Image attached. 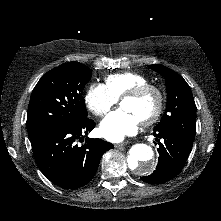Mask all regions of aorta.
I'll list each match as a JSON object with an SVG mask.
<instances>
[{"label":"aorta","instance_id":"obj_1","mask_svg":"<svg viewBox=\"0 0 221 221\" xmlns=\"http://www.w3.org/2000/svg\"><path fill=\"white\" fill-rule=\"evenodd\" d=\"M129 169L137 175L151 174L156 168V159L152 148L146 144L131 147L127 158Z\"/></svg>","mask_w":221,"mask_h":221}]
</instances>
